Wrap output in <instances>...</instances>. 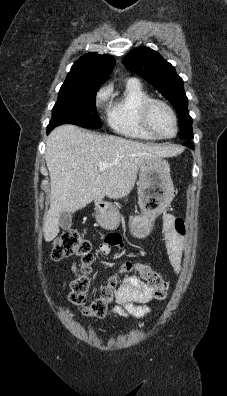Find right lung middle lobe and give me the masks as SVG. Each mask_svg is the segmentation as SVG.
Listing matches in <instances>:
<instances>
[{"label":"right lung middle lobe","mask_w":227,"mask_h":396,"mask_svg":"<svg viewBox=\"0 0 227 396\" xmlns=\"http://www.w3.org/2000/svg\"><path fill=\"white\" fill-rule=\"evenodd\" d=\"M99 88V84L64 82L53 107L52 119L48 127L74 124L84 128H101L102 123L95 106Z\"/></svg>","instance_id":"1"}]
</instances>
